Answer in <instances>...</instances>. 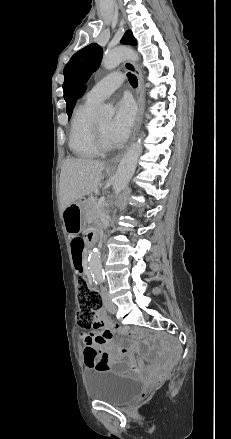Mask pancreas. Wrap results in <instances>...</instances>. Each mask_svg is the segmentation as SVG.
<instances>
[{
    "label": "pancreas",
    "mask_w": 231,
    "mask_h": 439,
    "mask_svg": "<svg viewBox=\"0 0 231 439\" xmlns=\"http://www.w3.org/2000/svg\"><path fill=\"white\" fill-rule=\"evenodd\" d=\"M97 204V199L92 197L89 198L83 205L82 212L87 222H92L98 218L99 214L101 213L103 205L96 209Z\"/></svg>",
    "instance_id": "pancreas-1"
}]
</instances>
